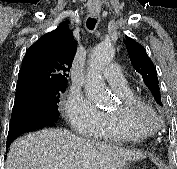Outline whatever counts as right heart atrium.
<instances>
[{"mask_svg": "<svg viewBox=\"0 0 177 169\" xmlns=\"http://www.w3.org/2000/svg\"><path fill=\"white\" fill-rule=\"evenodd\" d=\"M64 110L68 122L79 134L89 136L100 125L101 111L81 92L68 94Z\"/></svg>", "mask_w": 177, "mask_h": 169, "instance_id": "right-heart-atrium-1", "label": "right heart atrium"}]
</instances>
